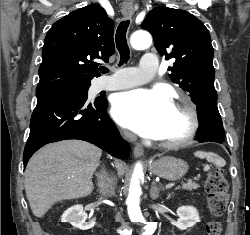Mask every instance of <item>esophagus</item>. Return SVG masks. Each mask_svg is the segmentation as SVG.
Here are the masks:
<instances>
[{
    "label": "esophagus",
    "mask_w": 250,
    "mask_h": 235,
    "mask_svg": "<svg viewBox=\"0 0 250 235\" xmlns=\"http://www.w3.org/2000/svg\"><path fill=\"white\" fill-rule=\"evenodd\" d=\"M122 14L125 18H131L134 14V8L132 4H125L122 6ZM143 147L140 144H136L133 149L134 156L140 157L143 155Z\"/></svg>",
    "instance_id": "1"
}]
</instances>
